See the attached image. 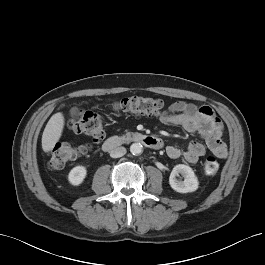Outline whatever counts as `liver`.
Wrapping results in <instances>:
<instances>
[{"label": "liver", "instance_id": "1", "mask_svg": "<svg viewBox=\"0 0 265 265\" xmlns=\"http://www.w3.org/2000/svg\"><path fill=\"white\" fill-rule=\"evenodd\" d=\"M64 124V116L60 112L54 114L50 118L42 135V149L44 152L51 151L59 141L63 132Z\"/></svg>", "mask_w": 265, "mask_h": 265}]
</instances>
